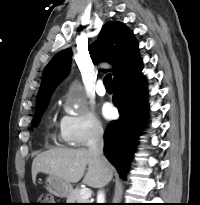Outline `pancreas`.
Returning a JSON list of instances; mask_svg holds the SVG:
<instances>
[{"mask_svg":"<svg viewBox=\"0 0 200 205\" xmlns=\"http://www.w3.org/2000/svg\"><path fill=\"white\" fill-rule=\"evenodd\" d=\"M67 203H90L88 199H82L80 196V189L71 190L67 196Z\"/></svg>","mask_w":200,"mask_h":205,"instance_id":"pancreas-1","label":"pancreas"}]
</instances>
